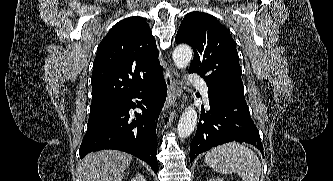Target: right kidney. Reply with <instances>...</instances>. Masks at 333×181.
<instances>
[{
  "label": "right kidney",
  "mask_w": 333,
  "mask_h": 181,
  "mask_svg": "<svg viewBox=\"0 0 333 181\" xmlns=\"http://www.w3.org/2000/svg\"><path fill=\"white\" fill-rule=\"evenodd\" d=\"M131 181H146L144 175L137 174Z\"/></svg>",
  "instance_id": "right-kidney-1"
}]
</instances>
